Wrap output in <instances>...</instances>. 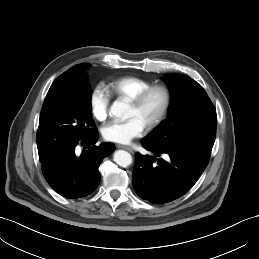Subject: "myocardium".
Returning <instances> with one entry per match:
<instances>
[{"label": "myocardium", "instance_id": "obj_1", "mask_svg": "<svg viewBox=\"0 0 259 259\" xmlns=\"http://www.w3.org/2000/svg\"><path fill=\"white\" fill-rule=\"evenodd\" d=\"M153 92H160L163 101L158 114L146 125L148 129L157 127L166 118L172 102V93L170 89L161 84L151 85L129 100L130 104L134 107H140Z\"/></svg>", "mask_w": 259, "mask_h": 259}]
</instances>
